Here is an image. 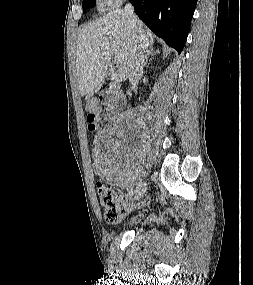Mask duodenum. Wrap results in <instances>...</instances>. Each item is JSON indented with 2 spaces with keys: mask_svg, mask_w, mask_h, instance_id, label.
Returning a JSON list of instances; mask_svg holds the SVG:
<instances>
[{
  "mask_svg": "<svg viewBox=\"0 0 253 285\" xmlns=\"http://www.w3.org/2000/svg\"><path fill=\"white\" fill-rule=\"evenodd\" d=\"M102 101L106 106V116L109 118L115 117L126 105L124 95L118 92L115 85H111L103 93Z\"/></svg>",
  "mask_w": 253,
  "mask_h": 285,
  "instance_id": "obj_1",
  "label": "duodenum"
}]
</instances>
